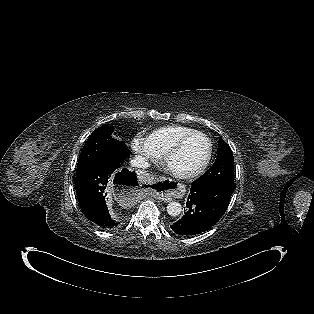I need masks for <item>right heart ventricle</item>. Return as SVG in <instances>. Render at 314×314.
Returning <instances> with one entry per match:
<instances>
[{"label": "right heart ventricle", "instance_id": "e07e8e85", "mask_svg": "<svg viewBox=\"0 0 314 314\" xmlns=\"http://www.w3.org/2000/svg\"><path fill=\"white\" fill-rule=\"evenodd\" d=\"M194 131L197 130L187 126H165L152 131L146 140L156 154L163 156L180 138Z\"/></svg>", "mask_w": 314, "mask_h": 314}]
</instances>
